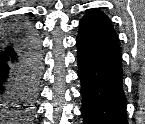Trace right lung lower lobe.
I'll return each mask as SVG.
<instances>
[{"label":"right lung lower lobe","instance_id":"obj_1","mask_svg":"<svg viewBox=\"0 0 145 124\" xmlns=\"http://www.w3.org/2000/svg\"><path fill=\"white\" fill-rule=\"evenodd\" d=\"M0 117L20 120L34 107L40 70L39 39L30 28L10 26L0 36Z\"/></svg>","mask_w":145,"mask_h":124}]
</instances>
